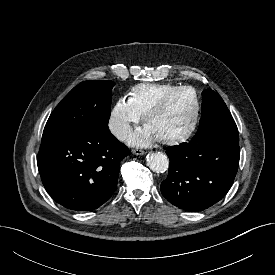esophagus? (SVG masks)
<instances>
[{
    "mask_svg": "<svg viewBox=\"0 0 275 275\" xmlns=\"http://www.w3.org/2000/svg\"><path fill=\"white\" fill-rule=\"evenodd\" d=\"M132 153L135 155H143V154H145V151H143L141 149H133Z\"/></svg>",
    "mask_w": 275,
    "mask_h": 275,
    "instance_id": "34e87169",
    "label": "esophagus"
}]
</instances>
